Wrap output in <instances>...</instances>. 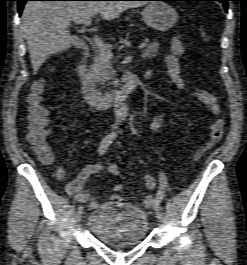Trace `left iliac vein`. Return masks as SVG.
I'll use <instances>...</instances> for the list:
<instances>
[{
  "label": "left iliac vein",
  "mask_w": 247,
  "mask_h": 265,
  "mask_svg": "<svg viewBox=\"0 0 247 265\" xmlns=\"http://www.w3.org/2000/svg\"><path fill=\"white\" fill-rule=\"evenodd\" d=\"M156 211V210H155ZM156 213V218H157V221L159 222V224H162L163 223V214H162V211L161 210H158L155 212Z\"/></svg>",
  "instance_id": "obj_1"
}]
</instances>
